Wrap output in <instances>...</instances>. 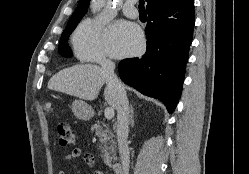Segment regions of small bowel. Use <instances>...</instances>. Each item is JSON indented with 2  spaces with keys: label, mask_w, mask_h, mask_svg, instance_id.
<instances>
[{
  "label": "small bowel",
  "mask_w": 249,
  "mask_h": 174,
  "mask_svg": "<svg viewBox=\"0 0 249 174\" xmlns=\"http://www.w3.org/2000/svg\"><path fill=\"white\" fill-rule=\"evenodd\" d=\"M82 155V151L80 148L76 147L73 148L67 155H65L64 159L66 161H71L73 159H76ZM83 160L86 165L89 167H94L95 166V158L91 154H84L83 155ZM58 174H65L63 170H60ZM93 174H104L102 171L99 170H94Z\"/></svg>",
  "instance_id": "c3829d8e"
}]
</instances>
